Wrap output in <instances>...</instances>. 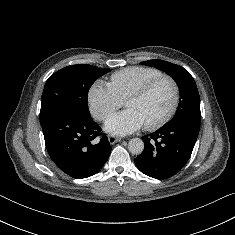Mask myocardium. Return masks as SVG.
Listing matches in <instances>:
<instances>
[{
	"instance_id": "obj_1",
	"label": "myocardium",
	"mask_w": 235,
	"mask_h": 235,
	"mask_svg": "<svg viewBox=\"0 0 235 235\" xmlns=\"http://www.w3.org/2000/svg\"><path fill=\"white\" fill-rule=\"evenodd\" d=\"M162 81H167L172 86L173 100H172L170 108L168 109V111L161 118H159L158 120H156L152 123L144 125L145 129H147V130H154V129H157V128L163 126L175 114V112L177 110V107H178V104H179V100H180V90H179V86H178L177 82L172 77H170L168 75H160V76L150 80L149 82L144 84L142 87H140L139 89H137L133 93H131L125 100V104H126L130 100L143 98L158 83H160Z\"/></svg>"
}]
</instances>
